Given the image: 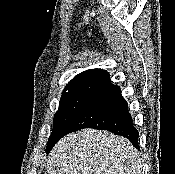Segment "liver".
I'll return each mask as SVG.
<instances>
[{"label": "liver", "instance_id": "obj_1", "mask_svg": "<svg viewBox=\"0 0 175 174\" xmlns=\"http://www.w3.org/2000/svg\"><path fill=\"white\" fill-rule=\"evenodd\" d=\"M140 153L129 140L92 128L71 133L50 152L49 174H141Z\"/></svg>", "mask_w": 175, "mask_h": 174}]
</instances>
